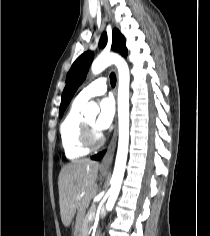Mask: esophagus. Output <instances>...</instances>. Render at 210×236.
<instances>
[{
  "label": "esophagus",
  "mask_w": 210,
  "mask_h": 236,
  "mask_svg": "<svg viewBox=\"0 0 210 236\" xmlns=\"http://www.w3.org/2000/svg\"><path fill=\"white\" fill-rule=\"evenodd\" d=\"M117 136H118V126H117V115H116L115 120H114L113 135H112L109 145L107 146L105 150V154L100 163V168L102 170H108L110 168V165L114 156L116 144H117Z\"/></svg>",
  "instance_id": "34e87169"
}]
</instances>
